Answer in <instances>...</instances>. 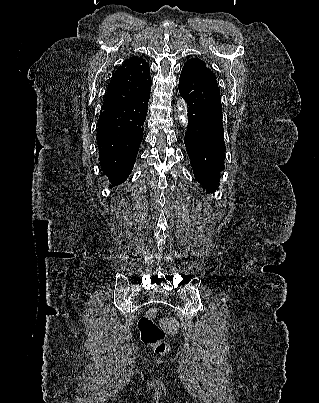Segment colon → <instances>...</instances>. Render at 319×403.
<instances>
[{"mask_svg":"<svg viewBox=\"0 0 319 403\" xmlns=\"http://www.w3.org/2000/svg\"><path fill=\"white\" fill-rule=\"evenodd\" d=\"M157 310L150 308L138 320V330L141 341L152 346L155 353L167 355L170 353V346L165 342V331L160 327L155 319Z\"/></svg>","mask_w":319,"mask_h":403,"instance_id":"5ec220e1","label":"colon"}]
</instances>
